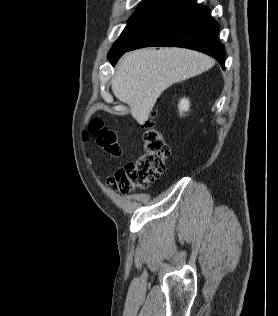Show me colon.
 I'll return each mask as SVG.
<instances>
[{"label": "colon", "instance_id": "5ec220e1", "mask_svg": "<svg viewBox=\"0 0 278 316\" xmlns=\"http://www.w3.org/2000/svg\"><path fill=\"white\" fill-rule=\"evenodd\" d=\"M142 127L144 152L108 179L110 187L115 191L128 193L136 189H145L165 171V160L170 153L169 146L160 131L155 128L152 119L147 120ZM88 133L97 145L111 156L117 157L121 154L115 131L107 128L100 119L91 121Z\"/></svg>", "mask_w": 278, "mask_h": 316}]
</instances>
